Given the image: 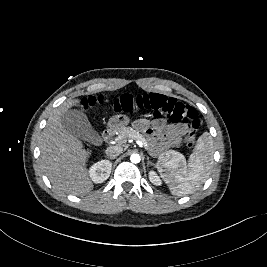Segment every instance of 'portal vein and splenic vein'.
<instances>
[{"mask_svg": "<svg viewBox=\"0 0 267 267\" xmlns=\"http://www.w3.org/2000/svg\"><path fill=\"white\" fill-rule=\"evenodd\" d=\"M115 141L117 143H124L126 142V140L123 137L118 136L117 138H115ZM136 143L140 146V147H147V142L143 139V140H137Z\"/></svg>", "mask_w": 267, "mask_h": 267, "instance_id": "obj_1", "label": "portal vein and splenic vein"}]
</instances>
